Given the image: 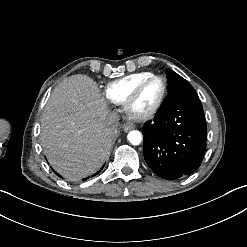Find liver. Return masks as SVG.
I'll list each match as a JSON object with an SVG mask.
<instances>
[{
    "mask_svg": "<svg viewBox=\"0 0 247 247\" xmlns=\"http://www.w3.org/2000/svg\"><path fill=\"white\" fill-rule=\"evenodd\" d=\"M109 113L96 82L86 75L70 76L53 90L41 118L40 140L56 171L77 181L102 166L114 139Z\"/></svg>",
    "mask_w": 247,
    "mask_h": 247,
    "instance_id": "1",
    "label": "liver"
}]
</instances>
